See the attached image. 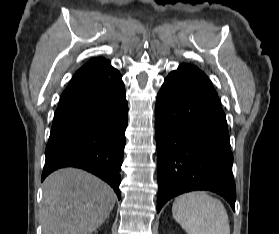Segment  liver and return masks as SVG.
<instances>
[{"label":"liver","instance_id":"liver-1","mask_svg":"<svg viewBox=\"0 0 279 234\" xmlns=\"http://www.w3.org/2000/svg\"><path fill=\"white\" fill-rule=\"evenodd\" d=\"M115 201L111 187L94 175L58 170L43 184V234H91L109 217Z\"/></svg>","mask_w":279,"mask_h":234}]
</instances>
